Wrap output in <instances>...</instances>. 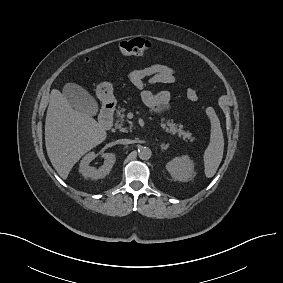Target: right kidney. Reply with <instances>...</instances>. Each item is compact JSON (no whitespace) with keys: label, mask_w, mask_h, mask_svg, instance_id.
<instances>
[{"label":"right kidney","mask_w":283,"mask_h":283,"mask_svg":"<svg viewBox=\"0 0 283 283\" xmlns=\"http://www.w3.org/2000/svg\"><path fill=\"white\" fill-rule=\"evenodd\" d=\"M104 163L102 167L96 169L90 166L92 160L96 158L94 152H90L83 157L80 162L79 172L84 178L101 179L108 175L116 161V157L112 153H104L102 155Z\"/></svg>","instance_id":"1"}]
</instances>
